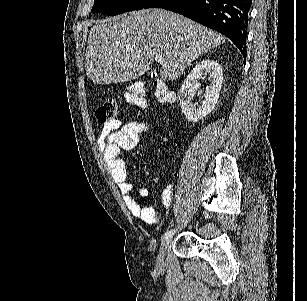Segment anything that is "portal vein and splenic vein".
Instances as JSON below:
<instances>
[{
  "mask_svg": "<svg viewBox=\"0 0 307 301\" xmlns=\"http://www.w3.org/2000/svg\"><path fill=\"white\" fill-rule=\"evenodd\" d=\"M155 60L156 62H160V64H162V66H166L167 62H165V60H163V56H161V54H155Z\"/></svg>",
  "mask_w": 307,
  "mask_h": 301,
  "instance_id": "1",
  "label": "portal vein and splenic vein"
}]
</instances>
